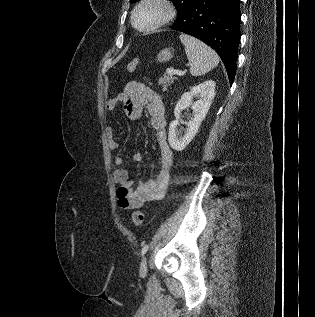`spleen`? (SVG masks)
Segmentation results:
<instances>
[{"instance_id": "3e777b00", "label": "spleen", "mask_w": 315, "mask_h": 317, "mask_svg": "<svg viewBox=\"0 0 315 317\" xmlns=\"http://www.w3.org/2000/svg\"><path fill=\"white\" fill-rule=\"evenodd\" d=\"M179 38L185 46L192 76L204 75L218 65L219 57L208 45L187 34H181Z\"/></svg>"}]
</instances>
